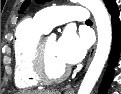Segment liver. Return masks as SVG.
<instances>
[{"mask_svg":"<svg viewBox=\"0 0 121 94\" xmlns=\"http://www.w3.org/2000/svg\"><path fill=\"white\" fill-rule=\"evenodd\" d=\"M21 94H61L57 90H44V91H29V92H23Z\"/></svg>","mask_w":121,"mask_h":94,"instance_id":"6515ba94","label":"liver"}]
</instances>
